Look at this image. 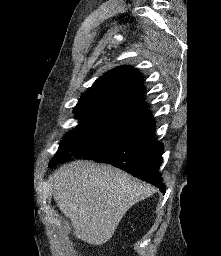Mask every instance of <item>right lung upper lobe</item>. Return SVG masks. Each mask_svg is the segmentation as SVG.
Returning a JSON list of instances; mask_svg holds the SVG:
<instances>
[{
	"label": "right lung upper lobe",
	"instance_id": "right-lung-upper-lobe-1",
	"mask_svg": "<svg viewBox=\"0 0 221 256\" xmlns=\"http://www.w3.org/2000/svg\"><path fill=\"white\" fill-rule=\"evenodd\" d=\"M142 74L129 66L117 67L100 77L86 91L75 107V111L112 108L132 116L152 118L141 96L145 92Z\"/></svg>",
	"mask_w": 221,
	"mask_h": 256
}]
</instances>
